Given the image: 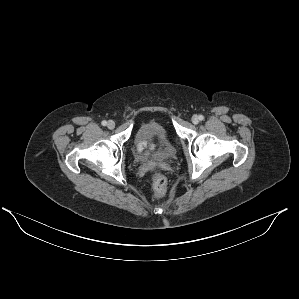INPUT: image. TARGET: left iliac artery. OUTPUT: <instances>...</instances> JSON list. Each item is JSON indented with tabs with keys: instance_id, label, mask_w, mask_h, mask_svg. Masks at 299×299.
<instances>
[{
	"instance_id": "left-iliac-artery-1",
	"label": "left iliac artery",
	"mask_w": 299,
	"mask_h": 299,
	"mask_svg": "<svg viewBox=\"0 0 299 299\" xmlns=\"http://www.w3.org/2000/svg\"><path fill=\"white\" fill-rule=\"evenodd\" d=\"M199 120H204V116L203 115H199Z\"/></svg>"
}]
</instances>
